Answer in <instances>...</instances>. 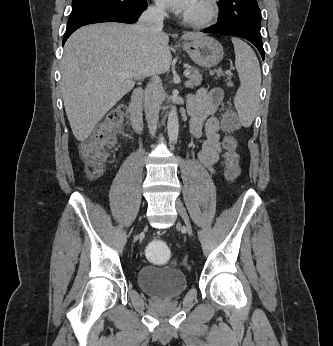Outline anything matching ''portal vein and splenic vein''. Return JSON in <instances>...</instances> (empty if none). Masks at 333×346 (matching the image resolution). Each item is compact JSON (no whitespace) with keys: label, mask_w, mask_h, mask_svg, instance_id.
<instances>
[{"label":"portal vein and splenic vein","mask_w":333,"mask_h":346,"mask_svg":"<svg viewBox=\"0 0 333 346\" xmlns=\"http://www.w3.org/2000/svg\"><path fill=\"white\" fill-rule=\"evenodd\" d=\"M190 75V71L189 70H185L184 71V76H189ZM120 78H137V75L135 73H121L118 75Z\"/></svg>","instance_id":"18ae733b"}]
</instances>
